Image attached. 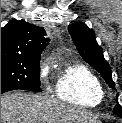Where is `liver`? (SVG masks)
I'll return each instance as SVG.
<instances>
[{"label":"liver","mask_w":122,"mask_h":123,"mask_svg":"<svg viewBox=\"0 0 122 123\" xmlns=\"http://www.w3.org/2000/svg\"><path fill=\"white\" fill-rule=\"evenodd\" d=\"M1 123H101L84 109L26 92L1 96Z\"/></svg>","instance_id":"obj_1"}]
</instances>
